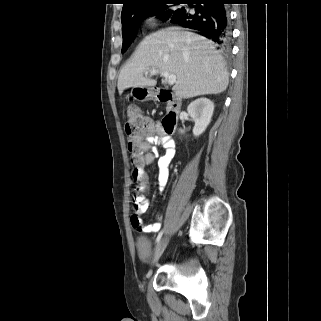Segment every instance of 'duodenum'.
Wrapping results in <instances>:
<instances>
[{
    "instance_id": "duodenum-1",
    "label": "duodenum",
    "mask_w": 321,
    "mask_h": 321,
    "mask_svg": "<svg viewBox=\"0 0 321 321\" xmlns=\"http://www.w3.org/2000/svg\"><path fill=\"white\" fill-rule=\"evenodd\" d=\"M153 97L157 101L168 105L169 110L162 121V127L166 133L172 134L175 131L179 119L182 107L181 99L175 96L171 91L164 88L155 89Z\"/></svg>"
}]
</instances>
